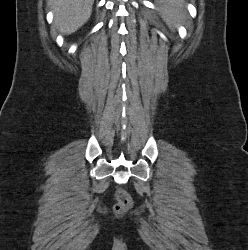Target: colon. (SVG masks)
Segmentation results:
<instances>
[{"mask_svg":"<svg viewBox=\"0 0 248 250\" xmlns=\"http://www.w3.org/2000/svg\"><path fill=\"white\" fill-rule=\"evenodd\" d=\"M117 203L115 205V212L119 215L126 213L132 206V199L124 189L116 191Z\"/></svg>","mask_w":248,"mask_h":250,"instance_id":"obj_1","label":"colon"}]
</instances>
